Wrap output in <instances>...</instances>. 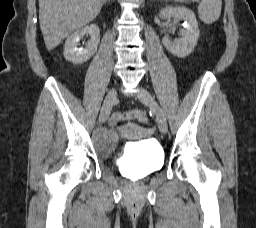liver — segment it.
<instances>
[{"label":"liver","mask_w":256,"mask_h":228,"mask_svg":"<svg viewBox=\"0 0 256 228\" xmlns=\"http://www.w3.org/2000/svg\"><path fill=\"white\" fill-rule=\"evenodd\" d=\"M104 0H39V22L46 48H56L72 32L93 21Z\"/></svg>","instance_id":"liver-1"}]
</instances>
